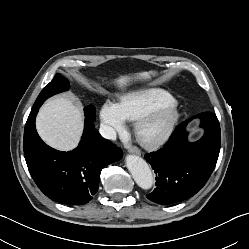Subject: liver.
<instances>
[{"label": "liver", "mask_w": 249, "mask_h": 249, "mask_svg": "<svg viewBox=\"0 0 249 249\" xmlns=\"http://www.w3.org/2000/svg\"><path fill=\"white\" fill-rule=\"evenodd\" d=\"M146 77V73H139L134 78L124 76L114 82L119 88H123L132 79ZM83 125L82 107L72 96H56L47 100L36 119V128L40 137L49 146L61 151H69L77 147Z\"/></svg>", "instance_id": "1"}]
</instances>
